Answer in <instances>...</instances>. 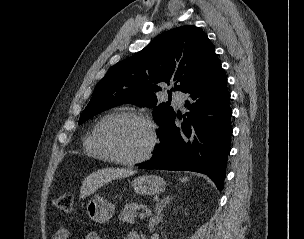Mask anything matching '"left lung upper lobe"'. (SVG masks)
Listing matches in <instances>:
<instances>
[{
    "label": "left lung upper lobe",
    "mask_w": 304,
    "mask_h": 239,
    "mask_svg": "<svg viewBox=\"0 0 304 239\" xmlns=\"http://www.w3.org/2000/svg\"><path fill=\"white\" fill-rule=\"evenodd\" d=\"M214 54V46L198 27L181 26L162 33L143 50L108 70L96 85L78 124L109 108L131 103L153 107L161 128L175 112L165 103L157 105L160 85L172 83L174 91L185 92Z\"/></svg>",
    "instance_id": "1"
}]
</instances>
